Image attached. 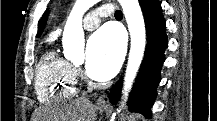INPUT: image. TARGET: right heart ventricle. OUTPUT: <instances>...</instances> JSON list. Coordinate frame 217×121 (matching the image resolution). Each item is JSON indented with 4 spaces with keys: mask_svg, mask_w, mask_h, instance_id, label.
Listing matches in <instances>:
<instances>
[{
    "mask_svg": "<svg viewBox=\"0 0 217 121\" xmlns=\"http://www.w3.org/2000/svg\"><path fill=\"white\" fill-rule=\"evenodd\" d=\"M76 74L69 61L47 51L36 68L35 91L41 103L64 101L76 93Z\"/></svg>",
    "mask_w": 217,
    "mask_h": 121,
    "instance_id": "e07e8e85",
    "label": "right heart ventricle"
}]
</instances>
